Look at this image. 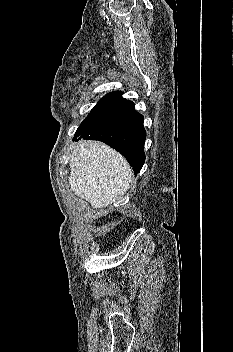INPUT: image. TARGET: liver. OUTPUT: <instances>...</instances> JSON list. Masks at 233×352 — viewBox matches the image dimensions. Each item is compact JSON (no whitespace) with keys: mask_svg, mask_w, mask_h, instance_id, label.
<instances>
[{"mask_svg":"<svg viewBox=\"0 0 233 352\" xmlns=\"http://www.w3.org/2000/svg\"><path fill=\"white\" fill-rule=\"evenodd\" d=\"M69 184L93 208L107 207L130 187L133 175L126 159L100 142L84 141L73 150Z\"/></svg>","mask_w":233,"mask_h":352,"instance_id":"obj_1","label":"liver"}]
</instances>
